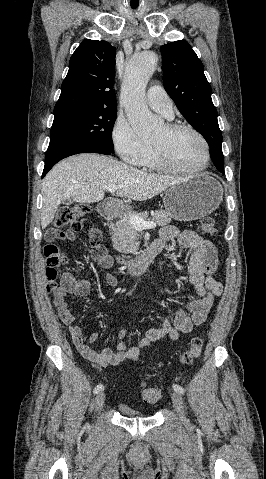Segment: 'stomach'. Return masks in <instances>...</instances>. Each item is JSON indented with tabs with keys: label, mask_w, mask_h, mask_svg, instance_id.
Returning a JSON list of instances; mask_svg holds the SVG:
<instances>
[{
	"label": "stomach",
	"mask_w": 266,
	"mask_h": 479,
	"mask_svg": "<svg viewBox=\"0 0 266 479\" xmlns=\"http://www.w3.org/2000/svg\"><path fill=\"white\" fill-rule=\"evenodd\" d=\"M223 189L209 173L189 177L165 193V211L179 221H192L211 214L220 205Z\"/></svg>",
	"instance_id": "0dacf381"
}]
</instances>
